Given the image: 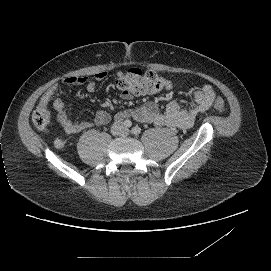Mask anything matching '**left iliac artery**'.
Masks as SVG:
<instances>
[{"instance_id":"1","label":"left iliac artery","mask_w":271,"mask_h":271,"mask_svg":"<svg viewBox=\"0 0 271 271\" xmlns=\"http://www.w3.org/2000/svg\"><path fill=\"white\" fill-rule=\"evenodd\" d=\"M131 132H132L133 134H135V135H138V134L141 133V128L138 127V126H135V127L132 128Z\"/></svg>"}]
</instances>
